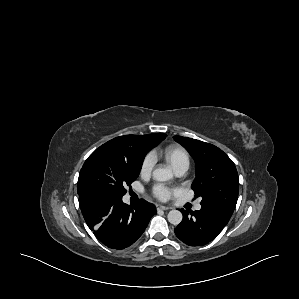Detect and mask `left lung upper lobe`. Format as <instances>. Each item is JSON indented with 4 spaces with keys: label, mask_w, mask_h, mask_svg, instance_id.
<instances>
[{
    "label": "left lung upper lobe",
    "mask_w": 299,
    "mask_h": 299,
    "mask_svg": "<svg viewBox=\"0 0 299 299\" xmlns=\"http://www.w3.org/2000/svg\"><path fill=\"white\" fill-rule=\"evenodd\" d=\"M174 140L183 145L196 162L192 189L201 196V206L230 219L237 203L239 179L233 161L218 147L182 136Z\"/></svg>",
    "instance_id": "left-lung-upper-lobe-1"
}]
</instances>
